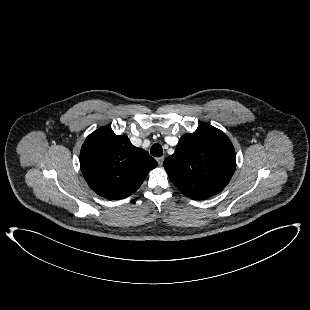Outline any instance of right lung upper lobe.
I'll use <instances>...</instances> for the list:
<instances>
[{
	"mask_svg": "<svg viewBox=\"0 0 310 310\" xmlns=\"http://www.w3.org/2000/svg\"><path fill=\"white\" fill-rule=\"evenodd\" d=\"M157 162L147 151L133 146L126 135L104 126L82 145L80 167L88 185L100 196L124 199L135 192Z\"/></svg>",
	"mask_w": 310,
	"mask_h": 310,
	"instance_id": "right-lung-upper-lobe-1",
	"label": "right lung upper lobe"
}]
</instances>
